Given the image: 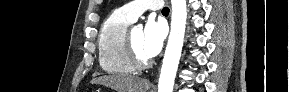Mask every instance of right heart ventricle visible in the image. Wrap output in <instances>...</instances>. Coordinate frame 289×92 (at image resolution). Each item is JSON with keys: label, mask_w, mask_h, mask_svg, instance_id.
<instances>
[{"label": "right heart ventricle", "mask_w": 289, "mask_h": 92, "mask_svg": "<svg viewBox=\"0 0 289 92\" xmlns=\"http://www.w3.org/2000/svg\"><path fill=\"white\" fill-rule=\"evenodd\" d=\"M132 22L120 10H116L102 23L98 35V57L104 72L127 75L135 71L124 51L125 33Z\"/></svg>", "instance_id": "e07e8e85"}]
</instances>
